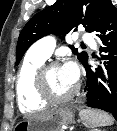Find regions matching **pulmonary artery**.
Returning a JSON list of instances; mask_svg holds the SVG:
<instances>
[{
  "label": "pulmonary artery",
  "instance_id": "obj_1",
  "mask_svg": "<svg viewBox=\"0 0 117 131\" xmlns=\"http://www.w3.org/2000/svg\"><path fill=\"white\" fill-rule=\"evenodd\" d=\"M85 43L95 46V41L91 34L83 33L81 36ZM55 47V40L53 37H45L37 41L27 52L28 58H35L46 60L50 57Z\"/></svg>",
  "mask_w": 117,
  "mask_h": 131
}]
</instances>
